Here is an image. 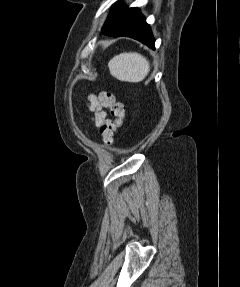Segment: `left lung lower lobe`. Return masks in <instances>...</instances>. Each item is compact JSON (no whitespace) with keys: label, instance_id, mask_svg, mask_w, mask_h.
Segmentation results:
<instances>
[{"label":"left lung lower lobe","instance_id":"1","mask_svg":"<svg viewBox=\"0 0 240 287\" xmlns=\"http://www.w3.org/2000/svg\"><path fill=\"white\" fill-rule=\"evenodd\" d=\"M101 31L109 36L131 37L155 49L150 27L138 8L118 6L109 15Z\"/></svg>","mask_w":240,"mask_h":287}]
</instances>
